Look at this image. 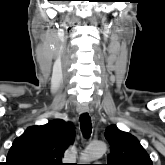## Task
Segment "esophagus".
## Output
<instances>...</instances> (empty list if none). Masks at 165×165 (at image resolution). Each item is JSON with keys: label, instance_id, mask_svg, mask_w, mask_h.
Segmentation results:
<instances>
[{"label": "esophagus", "instance_id": "34e87169", "mask_svg": "<svg viewBox=\"0 0 165 165\" xmlns=\"http://www.w3.org/2000/svg\"><path fill=\"white\" fill-rule=\"evenodd\" d=\"M77 111L80 114H84V113H87L89 111V108L87 105L81 104V105L77 106Z\"/></svg>", "mask_w": 165, "mask_h": 165}]
</instances>
